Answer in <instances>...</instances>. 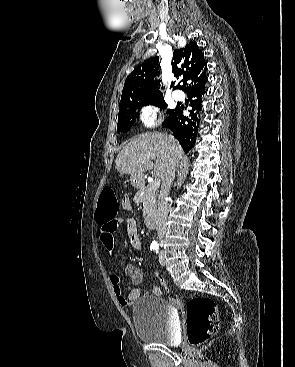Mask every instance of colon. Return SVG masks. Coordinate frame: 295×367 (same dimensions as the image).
<instances>
[{"label":"colon","mask_w":295,"mask_h":367,"mask_svg":"<svg viewBox=\"0 0 295 367\" xmlns=\"http://www.w3.org/2000/svg\"><path fill=\"white\" fill-rule=\"evenodd\" d=\"M118 202L114 191L104 187L101 191L97 222L106 223L117 218ZM187 336L193 346H200L216 334L219 327V314L216 303L209 297L196 296L187 303Z\"/></svg>","instance_id":"5ec220e1"}]
</instances>
